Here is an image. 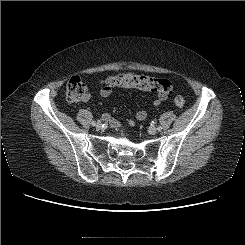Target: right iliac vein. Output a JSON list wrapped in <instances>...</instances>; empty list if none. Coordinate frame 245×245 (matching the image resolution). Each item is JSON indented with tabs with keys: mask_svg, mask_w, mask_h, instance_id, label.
Wrapping results in <instances>:
<instances>
[{
	"mask_svg": "<svg viewBox=\"0 0 245 245\" xmlns=\"http://www.w3.org/2000/svg\"><path fill=\"white\" fill-rule=\"evenodd\" d=\"M95 127H96L97 129H100V128L102 127L101 122H97V123L95 124Z\"/></svg>",
	"mask_w": 245,
	"mask_h": 245,
	"instance_id": "obj_1",
	"label": "right iliac vein"
}]
</instances>
